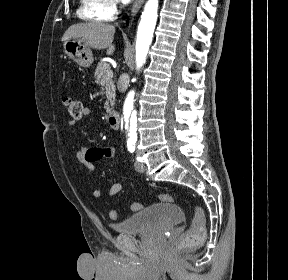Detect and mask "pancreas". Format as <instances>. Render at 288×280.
I'll use <instances>...</instances> for the list:
<instances>
[{
	"label": "pancreas",
	"mask_w": 288,
	"mask_h": 280,
	"mask_svg": "<svg viewBox=\"0 0 288 280\" xmlns=\"http://www.w3.org/2000/svg\"><path fill=\"white\" fill-rule=\"evenodd\" d=\"M111 70V67L108 63L102 62L98 63L95 70V82L103 87L105 91L107 100L105 101L104 108L107 113L111 111L115 103V85L112 77L106 78L107 71Z\"/></svg>",
	"instance_id": "cf45deb5"
}]
</instances>
